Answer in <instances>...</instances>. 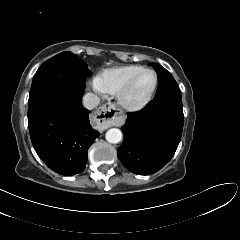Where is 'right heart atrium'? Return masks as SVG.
I'll use <instances>...</instances> for the list:
<instances>
[{
	"mask_svg": "<svg viewBox=\"0 0 240 240\" xmlns=\"http://www.w3.org/2000/svg\"><path fill=\"white\" fill-rule=\"evenodd\" d=\"M93 86H94L97 90H100V88L98 87V84H97L96 80H94Z\"/></svg>",
	"mask_w": 240,
	"mask_h": 240,
	"instance_id": "1",
	"label": "right heart atrium"
}]
</instances>
